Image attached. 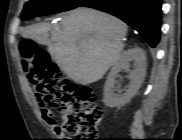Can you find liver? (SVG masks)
I'll return each instance as SVG.
<instances>
[{
	"mask_svg": "<svg viewBox=\"0 0 182 140\" xmlns=\"http://www.w3.org/2000/svg\"><path fill=\"white\" fill-rule=\"evenodd\" d=\"M126 33L127 25L120 19L79 7L63 15L59 26L39 23L24 29L22 36L47 45L58 67L73 81L87 85L119 61Z\"/></svg>",
	"mask_w": 182,
	"mask_h": 140,
	"instance_id": "6515ba94",
	"label": "liver"
}]
</instances>
